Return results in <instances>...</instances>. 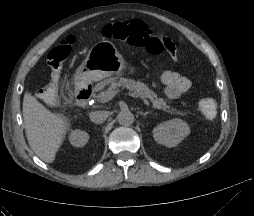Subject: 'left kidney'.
Wrapping results in <instances>:
<instances>
[{"label":"left kidney","mask_w":254,"mask_h":216,"mask_svg":"<svg viewBox=\"0 0 254 216\" xmlns=\"http://www.w3.org/2000/svg\"><path fill=\"white\" fill-rule=\"evenodd\" d=\"M189 134L188 124L177 118L163 122L153 130L154 140L167 147H175Z\"/></svg>","instance_id":"1"}]
</instances>
